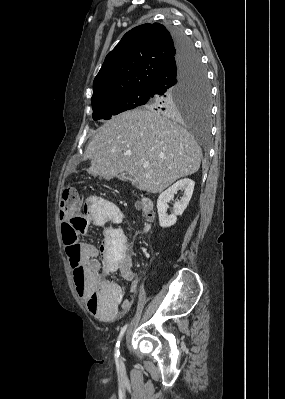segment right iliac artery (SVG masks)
Segmentation results:
<instances>
[{"instance_id":"1","label":"right iliac artery","mask_w":285,"mask_h":399,"mask_svg":"<svg viewBox=\"0 0 285 399\" xmlns=\"http://www.w3.org/2000/svg\"><path fill=\"white\" fill-rule=\"evenodd\" d=\"M126 328H127V324L124 325V326L121 328V331H120V333H119V336H118V339H117V342H116V345H115V353H114V356H115V359H116V360H118L119 357H120V351H119L120 340H121V337L123 336L124 332L126 331Z\"/></svg>"}]
</instances>
